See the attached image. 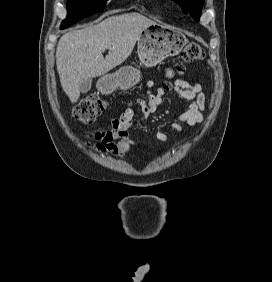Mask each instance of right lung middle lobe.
<instances>
[{"label":"right lung middle lobe","mask_w":272,"mask_h":282,"mask_svg":"<svg viewBox=\"0 0 272 282\" xmlns=\"http://www.w3.org/2000/svg\"><path fill=\"white\" fill-rule=\"evenodd\" d=\"M108 0H68L67 17L61 24V29L67 28L79 20L102 11Z\"/></svg>","instance_id":"right-lung-middle-lobe-1"}]
</instances>
